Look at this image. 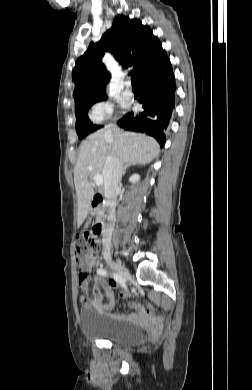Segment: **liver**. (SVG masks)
Returning a JSON list of instances; mask_svg holds the SVG:
<instances>
[{
  "label": "liver",
  "instance_id": "obj_1",
  "mask_svg": "<svg viewBox=\"0 0 252 390\" xmlns=\"http://www.w3.org/2000/svg\"><path fill=\"white\" fill-rule=\"evenodd\" d=\"M98 130L80 145L74 168V183L78 199V227L87 218L93 190L88 178L101 174L109 154L124 164L149 163L159 155L160 147L155 139L140 133L119 130ZM92 167L88 170L87 167Z\"/></svg>",
  "mask_w": 252,
  "mask_h": 390
}]
</instances>
